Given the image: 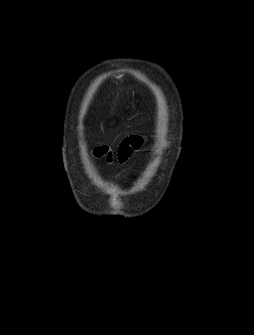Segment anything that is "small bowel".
Here are the masks:
<instances>
[{
  "mask_svg": "<svg viewBox=\"0 0 254 335\" xmlns=\"http://www.w3.org/2000/svg\"><path fill=\"white\" fill-rule=\"evenodd\" d=\"M141 144H142V139L138 137L132 138L126 141L119 150V156L121 157V159L127 158L129 154L131 153L132 149L138 148ZM97 152L100 155L106 154V151L104 148L98 149Z\"/></svg>",
  "mask_w": 254,
  "mask_h": 335,
  "instance_id": "c3829d8e",
  "label": "small bowel"
}]
</instances>
